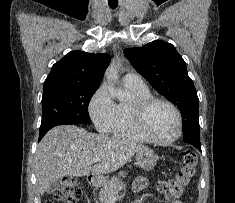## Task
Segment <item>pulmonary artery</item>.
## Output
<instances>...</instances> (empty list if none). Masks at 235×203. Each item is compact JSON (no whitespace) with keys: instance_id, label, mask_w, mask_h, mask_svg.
Here are the masks:
<instances>
[{"instance_id":"e3ab8cb5","label":"pulmonary artery","mask_w":235,"mask_h":203,"mask_svg":"<svg viewBox=\"0 0 235 203\" xmlns=\"http://www.w3.org/2000/svg\"><path fill=\"white\" fill-rule=\"evenodd\" d=\"M123 83L128 86L137 88H146L143 79L136 73H127L123 78Z\"/></svg>"}]
</instances>
